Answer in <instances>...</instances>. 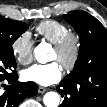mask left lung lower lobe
<instances>
[{"instance_id": "obj_1", "label": "left lung lower lobe", "mask_w": 107, "mask_h": 107, "mask_svg": "<svg viewBox=\"0 0 107 107\" xmlns=\"http://www.w3.org/2000/svg\"><path fill=\"white\" fill-rule=\"evenodd\" d=\"M84 91L83 107H107V78L104 76L92 78L79 85ZM57 91L64 96V101L59 107H69L68 99L75 89L61 81Z\"/></svg>"}]
</instances>
